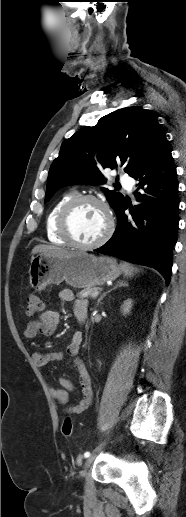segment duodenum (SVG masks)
Returning <instances> with one entry per match:
<instances>
[{
  "label": "duodenum",
  "mask_w": 186,
  "mask_h": 517,
  "mask_svg": "<svg viewBox=\"0 0 186 517\" xmlns=\"http://www.w3.org/2000/svg\"><path fill=\"white\" fill-rule=\"evenodd\" d=\"M78 319L81 323L85 322L86 318H87V312L86 311H82L78 314Z\"/></svg>",
  "instance_id": "410a0bca"
}]
</instances>
